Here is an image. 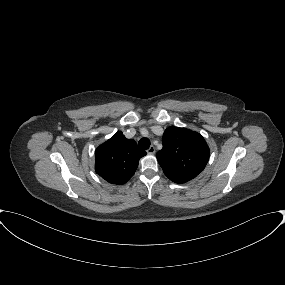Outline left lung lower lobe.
<instances>
[{
    "mask_svg": "<svg viewBox=\"0 0 285 285\" xmlns=\"http://www.w3.org/2000/svg\"><path fill=\"white\" fill-rule=\"evenodd\" d=\"M172 181L175 182V183H185V182H187L185 180H180V179L172 180Z\"/></svg>",
    "mask_w": 285,
    "mask_h": 285,
    "instance_id": "obj_1",
    "label": "left lung lower lobe"
}]
</instances>
